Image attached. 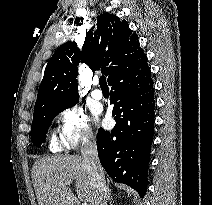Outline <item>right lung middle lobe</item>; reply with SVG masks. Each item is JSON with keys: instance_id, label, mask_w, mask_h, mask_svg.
<instances>
[{"instance_id": "1", "label": "right lung middle lobe", "mask_w": 212, "mask_h": 205, "mask_svg": "<svg viewBox=\"0 0 212 205\" xmlns=\"http://www.w3.org/2000/svg\"><path fill=\"white\" fill-rule=\"evenodd\" d=\"M78 102V101H77ZM77 102L61 105H45L34 110L33 122L31 127V139L34 145L40 147L45 142L46 134L52 120L62 111L73 107Z\"/></svg>"}]
</instances>
